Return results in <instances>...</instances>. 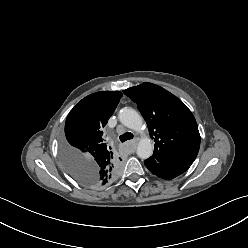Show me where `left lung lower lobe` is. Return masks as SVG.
<instances>
[{
	"instance_id": "0a47b994",
	"label": "left lung lower lobe",
	"mask_w": 248,
	"mask_h": 248,
	"mask_svg": "<svg viewBox=\"0 0 248 248\" xmlns=\"http://www.w3.org/2000/svg\"><path fill=\"white\" fill-rule=\"evenodd\" d=\"M193 163V161H180L174 163H160L152 158L145 160V166L152 174L163 178L173 179L185 172Z\"/></svg>"
}]
</instances>
